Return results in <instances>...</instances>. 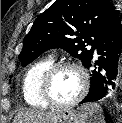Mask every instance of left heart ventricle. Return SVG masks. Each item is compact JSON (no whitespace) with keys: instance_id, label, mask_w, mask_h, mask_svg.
<instances>
[{"instance_id":"b2bd125f","label":"left heart ventricle","mask_w":122,"mask_h":123,"mask_svg":"<svg viewBox=\"0 0 122 123\" xmlns=\"http://www.w3.org/2000/svg\"><path fill=\"white\" fill-rule=\"evenodd\" d=\"M81 77L71 68L62 69L55 75L51 87V97L57 102H68L80 91Z\"/></svg>"}]
</instances>
